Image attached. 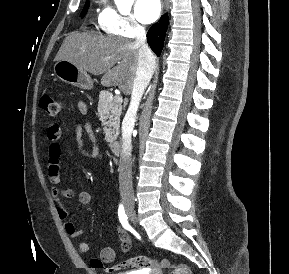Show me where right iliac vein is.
Returning <instances> with one entry per match:
<instances>
[{
    "instance_id": "obj_1",
    "label": "right iliac vein",
    "mask_w": 289,
    "mask_h": 274,
    "mask_svg": "<svg viewBox=\"0 0 289 274\" xmlns=\"http://www.w3.org/2000/svg\"><path fill=\"white\" fill-rule=\"evenodd\" d=\"M124 205L126 209V213L132 222H136V214L131 202L128 199H124Z\"/></svg>"
}]
</instances>
